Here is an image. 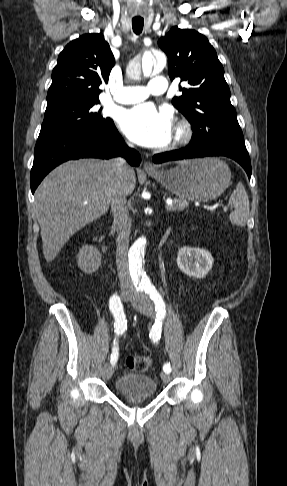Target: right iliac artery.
<instances>
[{
	"label": "right iliac artery",
	"instance_id": "obj_1",
	"mask_svg": "<svg viewBox=\"0 0 287 486\" xmlns=\"http://www.w3.org/2000/svg\"><path fill=\"white\" fill-rule=\"evenodd\" d=\"M137 290L142 291L143 288ZM109 308L115 318V333L116 335H122L127 329V320L124 314V309L120 298L117 295H113L110 298ZM114 348L111 354V364L114 365L118 359V346L114 342Z\"/></svg>",
	"mask_w": 287,
	"mask_h": 486
}]
</instances>
